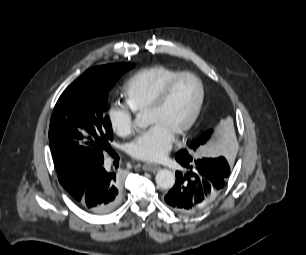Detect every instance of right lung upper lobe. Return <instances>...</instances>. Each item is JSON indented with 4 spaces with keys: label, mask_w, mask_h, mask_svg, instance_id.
<instances>
[{
    "label": "right lung upper lobe",
    "mask_w": 306,
    "mask_h": 255,
    "mask_svg": "<svg viewBox=\"0 0 306 255\" xmlns=\"http://www.w3.org/2000/svg\"><path fill=\"white\" fill-rule=\"evenodd\" d=\"M106 69H107V65H104V66H98V67L91 68V69H89L87 71H91V72H94V73L102 74V73L106 72ZM65 189L70 193V192H72L74 187L65 188Z\"/></svg>",
    "instance_id": "1"
}]
</instances>
